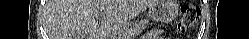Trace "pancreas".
Listing matches in <instances>:
<instances>
[{
    "label": "pancreas",
    "instance_id": "cf45deb5",
    "mask_svg": "<svg viewBox=\"0 0 249 39\" xmlns=\"http://www.w3.org/2000/svg\"><path fill=\"white\" fill-rule=\"evenodd\" d=\"M147 24H148L147 20L134 23L133 25H131L126 29L124 34L125 38H130L132 36L140 34L143 31V29L147 27Z\"/></svg>",
    "mask_w": 249,
    "mask_h": 39
}]
</instances>
